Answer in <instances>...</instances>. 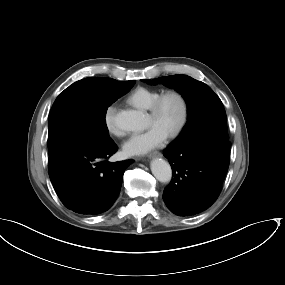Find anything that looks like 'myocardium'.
<instances>
[{
    "label": "myocardium",
    "mask_w": 285,
    "mask_h": 285,
    "mask_svg": "<svg viewBox=\"0 0 285 285\" xmlns=\"http://www.w3.org/2000/svg\"><path fill=\"white\" fill-rule=\"evenodd\" d=\"M170 96L176 97L180 101L181 108H182L181 118H180L178 124L176 125V127L173 130H171L167 134V136L169 138H175L181 134V132L184 130V128L188 122L189 103H188L186 96L181 91L176 90V89L167 90V91L161 93L155 99V101L152 103L151 107L149 108V112H150V115H152L153 117H157L160 113V110H161V107H162L164 101Z\"/></svg>",
    "instance_id": "obj_1"
}]
</instances>
